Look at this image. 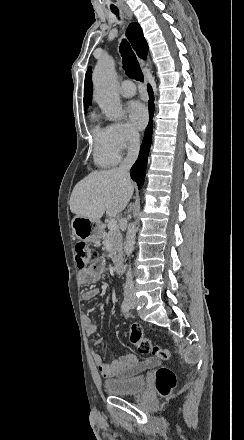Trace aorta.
<instances>
[{
    "instance_id": "obj_1",
    "label": "aorta",
    "mask_w": 244,
    "mask_h": 440,
    "mask_svg": "<svg viewBox=\"0 0 244 440\" xmlns=\"http://www.w3.org/2000/svg\"><path fill=\"white\" fill-rule=\"evenodd\" d=\"M93 84L95 100L108 120L118 121L123 118V109L118 93V80L116 77L114 62L105 57L98 61L93 72ZM136 237V224L128 225L124 250L130 256L134 250Z\"/></svg>"
}]
</instances>
